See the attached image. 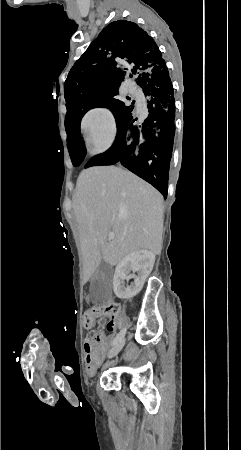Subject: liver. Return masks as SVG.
Segmentation results:
<instances>
[{
  "label": "liver",
  "mask_w": 241,
  "mask_h": 450,
  "mask_svg": "<svg viewBox=\"0 0 241 450\" xmlns=\"http://www.w3.org/2000/svg\"><path fill=\"white\" fill-rule=\"evenodd\" d=\"M163 196L150 184L122 168L96 166L82 170L73 198L79 228L84 280L101 260L116 266L141 248L160 254ZM110 232L115 238L109 240Z\"/></svg>",
  "instance_id": "liver-1"
}]
</instances>
